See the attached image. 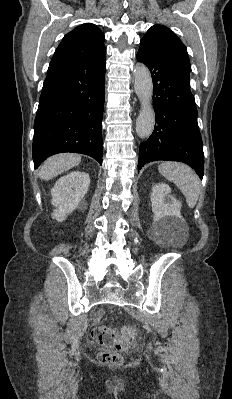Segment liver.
Listing matches in <instances>:
<instances>
[{"mask_svg": "<svg viewBox=\"0 0 232 399\" xmlns=\"http://www.w3.org/2000/svg\"><path fill=\"white\" fill-rule=\"evenodd\" d=\"M81 162V156L78 154H57V156H51L39 170V178L41 180H52L58 174L68 172L75 166H78Z\"/></svg>", "mask_w": 232, "mask_h": 399, "instance_id": "1", "label": "liver"}]
</instances>
